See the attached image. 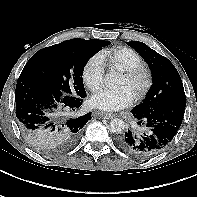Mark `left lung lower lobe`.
Segmentation results:
<instances>
[{"label": "left lung lower lobe", "mask_w": 197, "mask_h": 197, "mask_svg": "<svg viewBox=\"0 0 197 197\" xmlns=\"http://www.w3.org/2000/svg\"><path fill=\"white\" fill-rule=\"evenodd\" d=\"M186 98L167 100L154 109L131 110L142 132L128 130L118 139L119 147L136 158H150L163 151L181 126Z\"/></svg>", "instance_id": "0a47b994"}]
</instances>
